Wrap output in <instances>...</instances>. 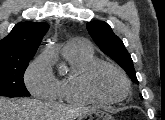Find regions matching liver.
I'll use <instances>...</instances> for the list:
<instances>
[{"instance_id": "liver-1", "label": "liver", "mask_w": 165, "mask_h": 120, "mask_svg": "<svg viewBox=\"0 0 165 120\" xmlns=\"http://www.w3.org/2000/svg\"><path fill=\"white\" fill-rule=\"evenodd\" d=\"M92 108H64L36 99L0 97V120H74L93 111Z\"/></svg>"}]
</instances>
